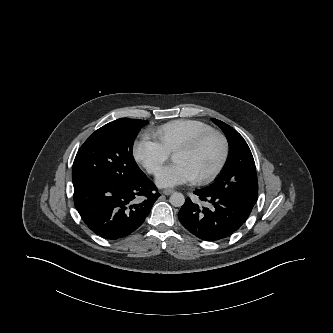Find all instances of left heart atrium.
Here are the masks:
<instances>
[{"instance_id": "1", "label": "left heart atrium", "mask_w": 333, "mask_h": 333, "mask_svg": "<svg viewBox=\"0 0 333 333\" xmlns=\"http://www.w3.org/2000/svg\"><path fill=\"white\" fill-rule=\"evenodd\" d=\"M193 179V175L183 164L173 161L162 170L157 178V183L162 187H173L190 182Z\"/></svg>"}]
</instances>
